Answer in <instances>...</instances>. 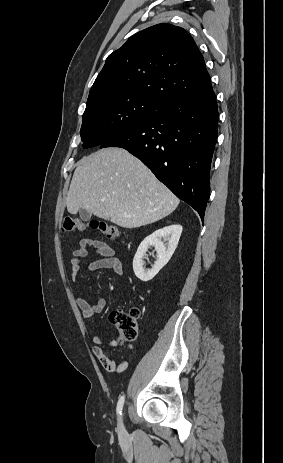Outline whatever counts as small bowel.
Segmentation results:
<instances>
[{"label":"small bowel","mask_w":283,"mask_h":463,"mask_svg":"<svg viewBox=\"0 0 283 463\" xmlns=\"http://www.w3.org/2000/svg\"><path fill=\"white\" fill-rule=\"evenodd\" d=\"M88 247H92L96 253L102 256L99 259L87 263L86 268L88 271L110 269L118 275L123 273L122 263L109 244L101 240L84 238L80 241L79 247L73 251L70 261L71 277L74 281L78 279L81 270V262L88 256ZM76 302L85 318H92L94 315L104 310L107 305L105 299H99L95 304H90L81 294L77 296ZM93 342L95 345L92 347V353L106 371L120 373L126 369L127 363L125 360L116 361L105 353L102 347L103 341L98 336H93ZM107 345L112 347L115 344L110 342Z\"/></svg>","instance_id":"c3829d8e"}]
</instances>
